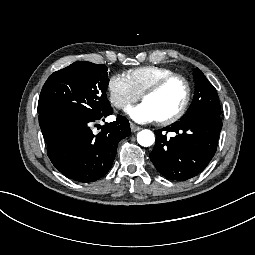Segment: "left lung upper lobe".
I'll use <instances>...</instances> for the list:
<instances>
[{
    "label": "left lung upper lobe",
    "instance_id": "left-lung-upper-lobe-1",
    "mask_svg": "<svg viewBox=\"0 0 255 255\" xmlns=\"http://www.w3.org/2000/svg\"><path fill=\"white\" fill-rule=\"evenodd\" d=\"M195 93L193 102L184 117H188L197 112H211L217 115L221 114L219 98L215 87L207 80L203 72L195 68Z\"/></svg>",
    "mask_w": 255,
    "mask_h": 255
}]
</instances>
